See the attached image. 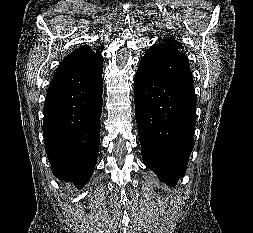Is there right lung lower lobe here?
Instances as JSON below:
<instances>
[{
  "instance_id": "98d812e1",
  "label": "right lung lower lobe",
  "mask_w": 253,
  "mask_h": 233,
  "mask_svg": "<svg viewBox=\"0 0 253 233\" xmlns=\"http://www.w3.org/2000/svg\"><path fill=\"white\" fill-rule=\"evenodd\" d=\"M103 66L56 72L44 104L43 136L52 171L80 189L97 161Z\"/></svg>"
}]
</instances>
